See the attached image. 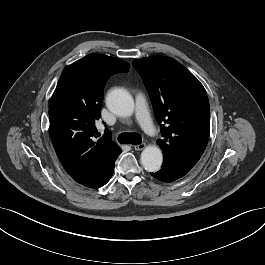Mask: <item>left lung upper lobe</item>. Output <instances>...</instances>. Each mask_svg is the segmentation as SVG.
Here are the masks:
<instances>
[{"instance_id":"1","label":"left lung upper lobe","mask_w":265,"mask_h":265,"mask_svg":"<svg viewBox=\"0 0 265 265\" xmlns=\"http://www.w3.org/2000/svg\"><path fill=\"white\" fill-rule=\"evenodd\" d=\"M150 94L162 140L160 171L177 180L202 156L210 132L209 101L195 76L176 60L152 56L133 61Z\"/></svg>"}]
</instances>
